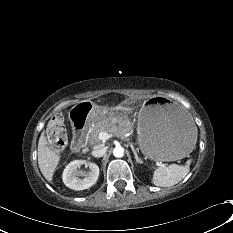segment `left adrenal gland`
Here are the masks:
<instances>
[{
	"label": "left adrenal gland",
	"mask_w": 233,
	"mask_h": 233,
	"mask_svg": "<svg viewBox=\"0 0 233 233\" xmlns=\"http://www.w3.org/2000/svg\"><path fill=\"white\" fill-rule=\"evenodd\" d=\"M131 148H132L133 154H134V156H135L136 162H137V163H142V160L138 157L137 152H136V150L134 149V147L131 146Z\"/></svg>",
	"instance_id": "1"
}]
</instances>
